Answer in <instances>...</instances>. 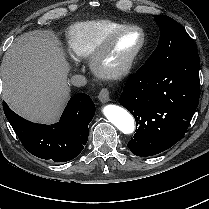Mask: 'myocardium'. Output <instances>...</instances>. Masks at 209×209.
<instances>
[{
    "label": "myocardium",
    "instance_id": "myocardium-1",
    "mask_svg": "<svg viewBox=\"0 0 209 209\" xmlns=\"http://www.w3.org/2000/svg\"><path fill=\"white\" fill-rule=\"evenodd\" d=\"M137 31L141 34V43L138 48L123 61L120 65L116 67H110L106 64L107 57L116 41V39L126 32ZM147 37L143 28L136 25H125L112 30L103 42L100 44L98 49L92 55L90 65L94 74L106 80L120 79L128 75L136 65L139 57L141 56L145 45Z\"/></svg>",
    "mask_w": 209,
    "mask_h": 209
}]
</instances>
